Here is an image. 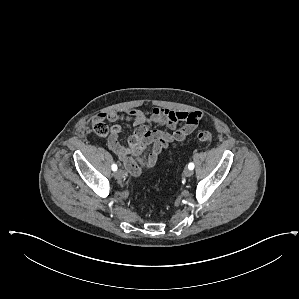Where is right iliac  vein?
<instances>
[{
	"instance_id": "63e3f726",
	"label": "right iliac vein",
	"mask_w": 299,
	"mask_h": 299,
	"mask_svg": "<svg viewBox=\"0 0 299 299\" xmlns=\"http://www.w3.org/2000/svg\"><path fill=\"white\" fill-rule=\"evenodd\" d=\"M115 177L118 180H122L125 177V172L122 169H119L115 172Z\"/></svg>"
}]
</instances>
